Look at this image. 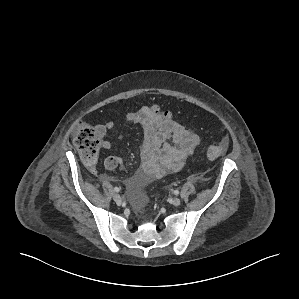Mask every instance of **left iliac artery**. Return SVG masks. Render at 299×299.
I'll list each match as a JSON object with an SVG mask.
<instances>
[{
	"mask_svg": "<svg viewBox=\"0 0 299 299\" xmlns=\"http://www.w3.org/2000/svg\"><path fill=\"white\" fill-rule=\"evenodd\" d=\"M174 194H175V195H178V194H179V190H175V191H174Z\"/></svg>",
	"mask_w": 299,
	"mask_h": 299,
	"instance_id": "obj_1",
	"label": "left iliac artery"
}]
</instances>
